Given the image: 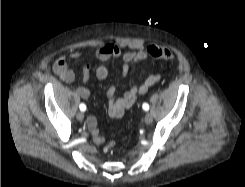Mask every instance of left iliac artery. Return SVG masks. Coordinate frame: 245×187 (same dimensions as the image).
<instances>
[{"mask_svg":"<svg viewBox=\"0 0 245 187\" xmlns=\"http://www.w3.org/2000/svg\"><path fill=\"white\" fill-rule=\"evenodd\" d=\"M142 107L145 111L149 110V105L147 103H144Z\"/></svg>","mask_w":245,"mask_h":187,"instance_id":"1","label":"left iliac artery"}]
</instances>
